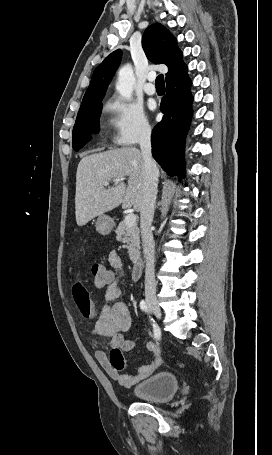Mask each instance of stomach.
Wrapping results in <instances>:
<instances>
[{"label":"stomach","instance_id":"stomach-1","mask_svg":"<svg viewBox=\"0 0 272 455\" xmlns=\"http://www.w3.org/2000/svg\"><path fill=\"white\" fill-rule=\"evenodd\" d=\"M113 228V220L107 215H100L96 222V230L101 235H108Z\"/></svg>","mask_w":272,"mask_h":455}]
</instances>
